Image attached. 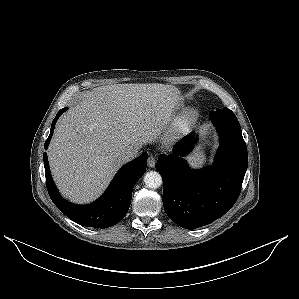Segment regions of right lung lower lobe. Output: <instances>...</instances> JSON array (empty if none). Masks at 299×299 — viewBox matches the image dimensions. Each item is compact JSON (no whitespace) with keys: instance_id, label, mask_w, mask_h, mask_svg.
Returning a JSON list of instances; mask_svg holds the SVG:
<instances>
[{"instance_id":"obj_1","label":"right lung lower lobe","mask_w":299,"mask_h":299,"mask_svg":"<svg viewBox=\"0 0 299 299\" xmlns=\"http://www.w3.org/2000/svg\"><path fill=\"white\" fill-rule=\"evenodd\" d=\"M64 111L66 108L61 109L54 118L49 137L44 145L45 149L48 148L56 121ZM43 160L47 190L53 203L60 211L80 225L104 229L117 224L126 215L131 203L133 187L146 170L147 154L143 153L124 165L106 192L97 201L89 205H75L64 200L52 180L46 153L43 154Z\"/></svg>"}]
</instances>
